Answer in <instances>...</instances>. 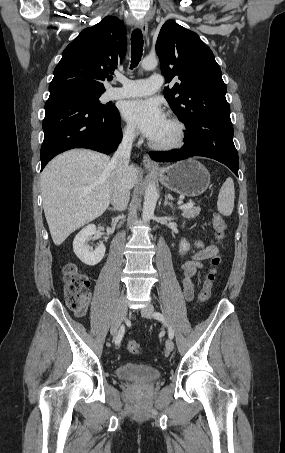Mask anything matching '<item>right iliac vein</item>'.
I'll use <instances>...</instances> for the list:
<instances>
[{
	"mask_svg": "<svg viewBox=\"0 0 285 453\" xmlns=\"http://www.w3.org/2000/svg\"><path fill=\"white\" fill-rule=\"evenodd\" d=\"M127 313L126 299L122 295L117 302L115 312L110 326V334L115 336Z\"/></svg>",
	"mask_w": 285,
	"mask_h": 453,
	"instance_id": "1",
	"label": "right iliac vein"
}]
</instances>
